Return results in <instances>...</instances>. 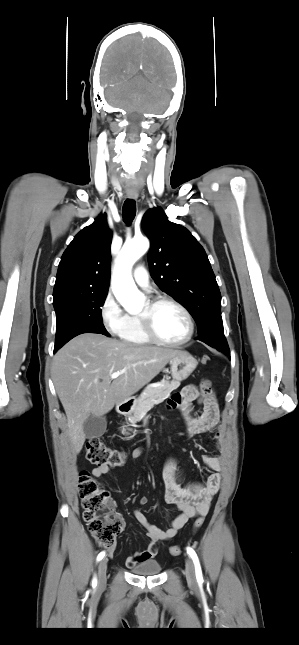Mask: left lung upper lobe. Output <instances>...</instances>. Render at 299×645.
Masks as SVG:
<instances>
[{
	"label": "left lung upper lobe",
	"mask_w": 299,
	"mask_h": 645,
	"mask_svg": "<svg viewBox=\"0 0 299 645\" xmlns=\"http://www.w3.org/2000/svg\"><path fill=\"white\" fill-rule=\"evenodd\" d=\"M142 228L151 240L148 262L152 278L164 292L187 307L198 326L197 339L222 350L227 346L221 317V294L203 247L160 208L148 210Z\"/></svg>",
	"instance_id": "1"
}]
</instances>
